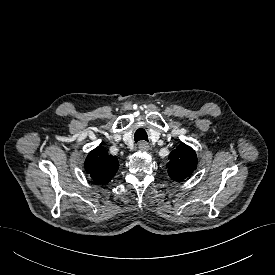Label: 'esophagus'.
Masks as SVG:
<instances>
[{"mask_svg": "<svg viewBox=\"0 0 275 275\" xmlns=\"http://www.w3.org/2000/svg\"><path fill=\"white\" fill-rule=\"evenodd\" d=\"M138 148L142 151H148L149 150V144L145 141H141L139 144H138Z\"/></svg>", "mask_w": 275, "mask_h": 275, "instance_id": "obj_1", "label": "esophagus"}]
</instances>
